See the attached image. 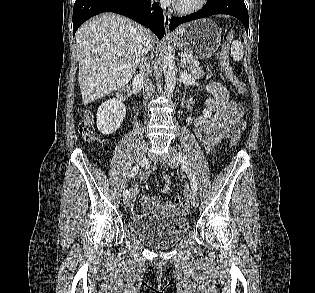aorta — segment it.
Wrapping results in <instances>:
<instances>
[{
    "instance_id": "aorta-1",
    "label": "aorta",
    "mask_w": 315,
    "mask_h": 293,
    "mask_svg": "<svg viewBox=\"0 0 315 293\" xmlns=\"http://www.w3.org/2000/svg\"><path fill=\"white\" fill-rule=\"evenodd\" d=\"M163 71L165 75V85L168 93H172L176 86V66L174 56L171 52L164 53Z\"/></svg>"
}]
</instances>
